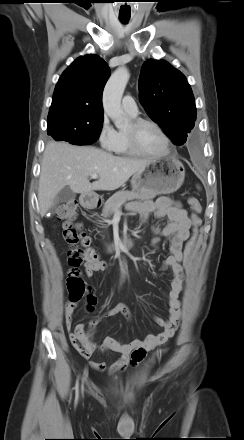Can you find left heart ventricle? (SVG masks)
I'll return each instance as SVG.
<instances>
[{
  "mask_svg": "<svg viewBox=\"0 0 244 440\" xmlns=\"http://www.w3.org/2000/svg\"><path fill=\"white\" fill-rule=\"evenodd\" d=\"M131 129V125L127 130ZM141 148L149 153H160L165 149V140L161 133L152 125H143L137 130Z\"/></svg>",
  "mask_w": 244,
  "mask_h": 440,
  "instance_id": "b2bd125f",
  "label": "left heart ventricle"
}]
</instances>
